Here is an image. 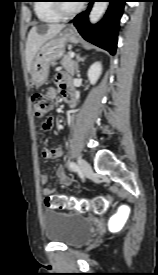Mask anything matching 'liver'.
I'll return each mask as SVG.
<instances>
[{"instance_id":"obj_1","label":"liver","mask_w":158,"mask_h":275,"mask_svg":"<svg viewBox=\"0 0 158 275\" xmlns=\"http://www.w3.org/2000/svg\"><path fill=\"white\" fill-rule=\"evenodd\" d=\"M64 27V24H48L38 27L34 26L30 30L26 41V63L28 71H30L31 64L40 47L45 42L58 35Z\"/></svg>"}]
</instances>
